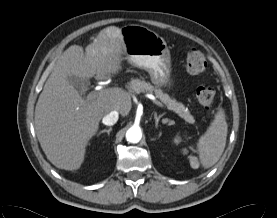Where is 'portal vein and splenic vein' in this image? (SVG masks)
I'll use <instances>...</instances> for the list:
<instances>
[{"label": "portal vein and splenic vein", "instance_id": "portal-vein-and-splenic-vein-1", "mask_svg": "<svg viewBox=\"0 0 277 218\" xmlns=\"http://www.w3.org/2000/svg\"><path fill=\"white\" fill-rule=\"evenodd\" d=\"M97 94H98V92H91L89 95H88V97H87V99H95L96 97H97ZM149 98L156 104V105H158L159 107H161V108H164V105L161 103V102H159L158 100H156V98L153 96V95H149Z\"/></svg>", "mask_w": 277, "mask_h": 218}]
</instances>
